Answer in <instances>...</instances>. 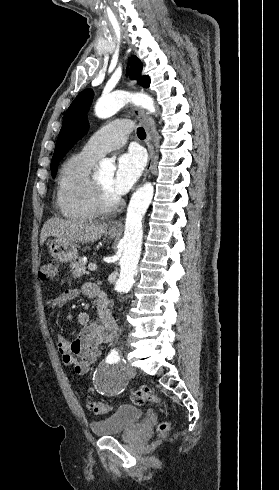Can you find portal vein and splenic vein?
<instances>
[{
    "mask_svg": "<svg viewBox=\"0 0 279 490\" xmlns=\"http://www.w3.org/2000/svg\"><path fill=\"white\" fill-rule=\"evenodd\" d=\"M85 262H86V260H85ZM88 270H92V272H94V270H97L96 264H88Z\"/></svg>",
    "mask_w": 279,
    "mask_h": 490,
    "instance_id": "18ae733b",
    "label": "portal vein and splenic vein"
}]
</instances>
